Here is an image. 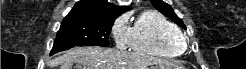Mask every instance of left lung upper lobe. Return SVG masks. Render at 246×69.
<instances>
[{
    "instance_id": "5c2ea615",
    "label": "left lung upper lobe",
    "mask_w": 246,
    "mask_h": 69,
    "mask_svg": "<svg viewBox=\"0 0 246 69\" xmlns=\"http://www.w3.org/2000/svg\"><path fill=\"white\" fill-rule=\"evenodd\" d=\"M151 3L158 11H160L166 17L170 18L172 21H174L182 28H186L183 24V21L177 17L170 5L163 2L162 0H151Z\"/></svg>"
}]
</instances>
